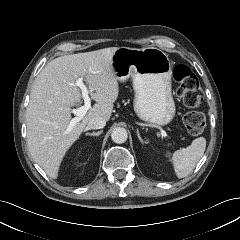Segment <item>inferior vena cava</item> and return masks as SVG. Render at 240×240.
<instances>
[{"label": "inferior vena cava", "instance_id": "602c4592", "mask_svg": "<svg viewBox=\"0 0 240 240\" xmlns=\"http://www.w3.org/2000/svg\"><path fill=\"white\" fill-rule=\"evenodd\" d=\"M106 125V120L103 117L97 116L92 118L87 125V129H101Z\"/></svg>", "mask_w": 240, "mask_h": 240}]
</instances>
